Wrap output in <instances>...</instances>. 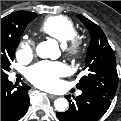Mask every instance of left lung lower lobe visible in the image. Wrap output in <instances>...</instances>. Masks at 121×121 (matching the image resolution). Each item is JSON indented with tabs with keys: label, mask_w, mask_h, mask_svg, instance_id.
<instances>
[{
	"label": "left lung lower lobe",
	"mask_w": 121,
	"mask_h": 121,
	"mask_svg": "<svg viewBox=\"0 0 121 121\" xmlns=\"http://www.w3.org/2000/svg\"><path fill=\"white\" fill-rule=\"evenodd\" d=\"M111 101L95 93L82 92L66 112L56 115L60 121H97L108 110Z\"/></svg>",
	"instance_id": "0a47b994"
}]
</instances>
